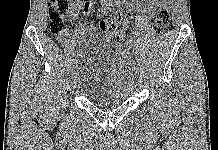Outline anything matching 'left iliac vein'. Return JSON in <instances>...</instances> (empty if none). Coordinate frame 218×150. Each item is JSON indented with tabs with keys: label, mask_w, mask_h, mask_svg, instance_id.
<instances>
[{
	"label": "left iliac vein",
	"mask_w": 218,
	"mask_h": 150,
	"mask_svg": "<svg viewBox=\"0 0 218 150\" xmlns=\"http://www.w3.org/2000/svg\"><path fill=\"white\" fill-rule=\"evenodd\" d=\"M137 77H138V74L134 73L133 76H131V81H136Z\"/></svg>",
	"instance_id": "left-iliac-vein-1"
}]
</instances>
